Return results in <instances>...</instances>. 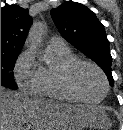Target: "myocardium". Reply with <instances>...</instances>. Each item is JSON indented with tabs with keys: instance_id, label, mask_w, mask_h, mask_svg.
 I'll return each mask as SVG.
<instances>
[{
	"instance_id": "myocardium-1",
	"label": "myocardium",
	"mask_w": 123,
	"mask_h": 130,
	"mask_svg": "<svg viewBox=\"0 0 123 130\" xmlns=\"http://www.w3.org/2000/svg\"><path fill=\"white\" fill-rule=\"evenodd\" d=\"M81 66H89L95 69L101 76L105 85V90L103 95L99 99L96 100L87 99L83 97L76 89L74 84V74L76 70ZM59 79H60L61 86L63 87L65 92L75 101H80L88 104H96L101 102L106 97L109 91V82L104 71L94 62L81 59L78 57L66 62L65 64L59 67Z\"/></svg>"
}]
</instances>
